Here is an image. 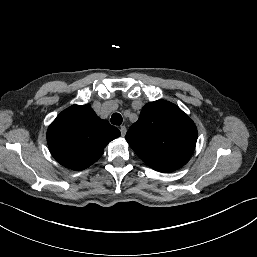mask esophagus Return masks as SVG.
<instances>
[{
	"label": "esophagus",
	"mask_w": 257,
	"mask_h": 257,
	"mask_svg": "<svg viewBox=\"0 0 257 257\" xmlns=\"http://www.w3.org/2000/svg\"><path fill=\"white\" fill-rule=\"evenodd\" d=\"M121 136L124 137L127 132V128L125 126L120 127Z\"/></svg>",
	"instance_id": "34e87169"
}]
</instances>
